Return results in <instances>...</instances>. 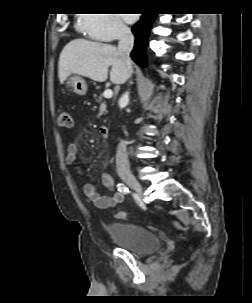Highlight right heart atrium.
<instances>
[{"instance_id": "d8ad5b80", "label": "right heart atrium", "mask_w": 252, "mask_h": 303, "mask_svg": "<svg viewBox=\"0 0 252 303\" xmlns=\"http://www.w3.org/2000/svg\"><path fill=\"white\" fill-rule=\"evenodd\" d=\"M80 28L90 37L112 42L128 34V27L117 14H79Z\"/></svg>"}]
</instances>
